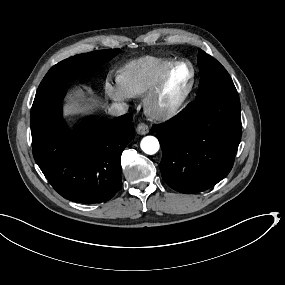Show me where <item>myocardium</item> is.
Here are the masks:
<instances>
[{"label":"myocardium","instance_id":"myocardium-1","mask_svg":"<svg viewBox=\"0 0 285 285\" xmlns=\"http://www.w3.org/2000/svg\"><path fill=\"white\" fill-rule=\"evenodd\" d=\"M175 74H180V70L170 67L157 81V83L144 93L142 98V106L144 111L156 119H167L176 113L183 107L187 102L194 85V73L191 70L189 72V82L180 98L172 105L163 107L161 109H154V101L156 97L163 91L168 81Z\"/></svg>","mask_w":285,"mask_h":285}]
</instances>
